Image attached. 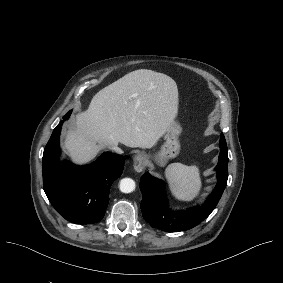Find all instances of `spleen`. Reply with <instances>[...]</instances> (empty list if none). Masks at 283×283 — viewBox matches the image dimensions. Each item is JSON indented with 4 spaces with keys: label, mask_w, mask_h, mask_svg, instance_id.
Segmentation results:
<instances>
[{
    "label": "spleen",
    "mask_w": 283,
    "mask_h": 283,
    "mask_svg": "<svg viewBox=\"0 0 283 283\" xmlns=\"http://www.w3.org/2000/svg\"><path fill=\"white\" fill-rule=\"evenodd\" d=\"M171 196L184 203L196 200L203 187L200 167L197 164L173 163L164 171Z\"/></svg>",
    "instance_id": "3e777b00"
}]
</instances>
